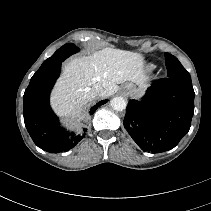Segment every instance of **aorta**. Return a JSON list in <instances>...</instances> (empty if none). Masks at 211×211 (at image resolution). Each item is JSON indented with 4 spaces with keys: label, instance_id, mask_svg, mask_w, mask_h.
Instances as JSON below:
<instances>
[{
    "label": "aorta",
    "instance_id": "obj_1",
    "mask_svg": "<svg viewBox=\"0 0 211 211\" xmlns=\"http://www.w3.org/2000/svg\"><path fill=\"white\" fill-rule=\"evenodd\" d=\"M110 106L115 110V111H123L126 106V100L123 97H114L110 101Z\"/></svg>",
    "mask_w": 211,
    "mask_h": 211
}]
</instances>
